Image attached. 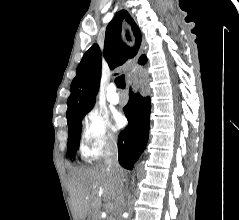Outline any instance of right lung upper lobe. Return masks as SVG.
I'll return each instance as SVG.
<instances>
[{
	"label": "right lung upper lobe",
	"instance_id": "right-lung-upper-lobe-1",
	"mask_svg": "<svg viewBox=\"0 0 239 220\" xmlns=\"http://www.w3.org/2000/svg\"><path fill=\"white\" fill-rule=\"evenodd\" d=\"M122 18L131 26L135 36V47L131 48L121 41L120 34ZM141 32L127 11L119 12L106 28L103 55L111 69L122 65L129 58L134 57L141 44ZM129 43L128 38H126ZM147 58L142 55L139 64H145ZM76 77L70 86V96L67 101L68 125L82 115L89 112L95 103L101 78V51L97 44L91 46L84 54L76 70Z\"/></svg>",
	"mask_w": 239,
	"mask_h": 220
}]
</instances>
